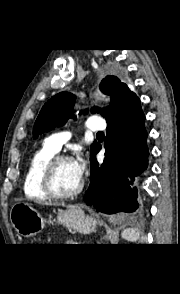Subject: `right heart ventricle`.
<instances>
[{
	"label": "right heart ventricle",
	"mask_w": 180,
	"mask_h": 294,
	"mask_svg": "<svg viewBox=\"0 0 180 294\" xmlns=\"http://www.w3.org/2000/svg\"><path fill=\"white\" fill-rule=\"evenodd\" d=\"M56 153L53 149L43 145L31 157L23 183V190L27 197L36 200L49 199L41 188V172Z\"/></svg>",
	"instance_id": "right-heart-ventricle-1"
}]
</instances>
